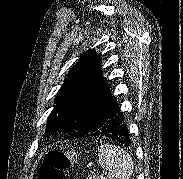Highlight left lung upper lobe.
<instances>
[{"instance_id": "5c2ea615", "label": "left lung upper lobe", "mask_w": 183, "mask_h": 179, "mask_svg": "<svg viewBox=\"0 0 183 179\" xmlns=\"http://www.w3.org/2000/svg\"><path fill=\"white\" fill-rule=\"evenodd\" d=\"M44 136L61 132L83 138L100 128L116 106L101 73V56L90 50L78 59L57 93Z\"/></svg>"}]
</instances>
